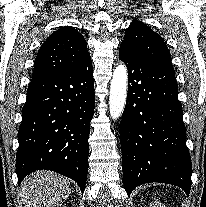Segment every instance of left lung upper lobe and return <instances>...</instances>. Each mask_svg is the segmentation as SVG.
<instances>
[{
	"label": "left lung upper lobe",
	"instance_id": "5c2ea615",
	"mask_svg": "<svg viewBox=\"0 0 206 207\" xmlns=\"http://www.w3.org/2000/svg\"><path fill=\"white\" fill-rule=\"evenodd\" d=\"M120 50L152 64L173 69L170 52L162 37L138 20H133L128 27Z\"/></svg>",
	"mask_w": 206,
	"mask_h": 207
}]
</instances>
